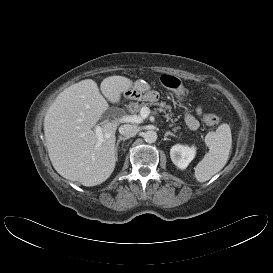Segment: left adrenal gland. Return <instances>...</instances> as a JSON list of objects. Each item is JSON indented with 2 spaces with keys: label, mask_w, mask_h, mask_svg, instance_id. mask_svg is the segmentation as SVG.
<instances>
[{
  "label": "left adrenal gland",
  "mask_w": 273,
  "mask_h": 273,
  "mask_svg": "<svg viewBox=\"0 0 273 273\" xmlns=\"http://www.w3.org/2000/svg\"><path fill=\"white\" fill-rule=\"evenodd\" d=\"M168 135L177 137L174 133H172V132H170V131H167V132L165 133V137L168 136Z\"/></svg>",
  "instance_id": "a2214340"
}]
</instances>
